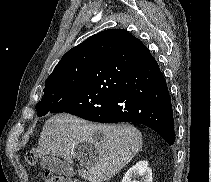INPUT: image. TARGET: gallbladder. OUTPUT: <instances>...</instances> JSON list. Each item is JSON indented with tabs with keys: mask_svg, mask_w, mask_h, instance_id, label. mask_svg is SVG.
Returning a JSON list of instances; mask_svg holds the SVG:
<instances>
[{
	"mask_svg": "<svg viewBox=\"0 0 211 182\" xmlns=\"http://www.w3.org/2000/svg\"><path fill=\"white\" fill-rule=\"evenodd\" d=\"M90 153L93 158H96L98 155L94 147L90 144H80L75 148V152L77 157L80 160H85V156H83V152ZM90 151V152H89ZM41 165L43 168L49 170L50 172L60 175V176H74L75 172L72 166L65 161H62L60 158L52 155L43 156L41 159Z\"/></svg>",
	"mask_w": 211,
	"mask_h": 182,
	"instance_id": "1",
	"label": "gallbladder"
}]
</instances>
